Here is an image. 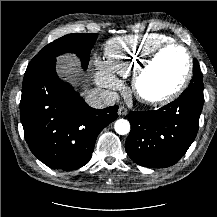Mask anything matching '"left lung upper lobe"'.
<instances>
[{
    "label": "left lung upper lobe",
    "instance_id": "left-lung-upper-lobe-1",
    "mask_svg": "<svg viewBox=\"0 0 217 217\" xmlns=\"http://www.w3.org/2000/svg\"><path fill=\"white\" fill-rule=\"evenodd\" d=\"M193 73L194 76L188 87H194L198 90L203 91V75L200 71V67L196 59H193Z\"/></svg>",
    "mask_w": 217,
    "mask_h": 217
}]
</instances>
